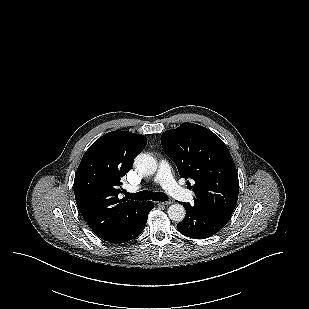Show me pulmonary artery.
<instances>
[{
	"instance_id": "1",
	"label": "pulmonary artery",
	"mask_w": 309,
	"mask_h": 309,
	"mask_svg": "<svg viewBox=\"0 0 309 309\" xmlns=\"http://www.w3.org/2000/svg\"><path fill=\"white\" fill-rule=\"evenodd\" d=\"M156 178L160 181L165 191L175 199L186 202H191L194 199V193L178 184L174 179L167 161L162 160L160 162Z\"/></svg>"
}]
</instances>
